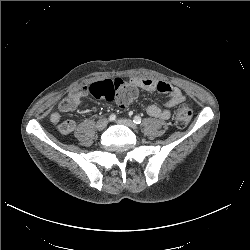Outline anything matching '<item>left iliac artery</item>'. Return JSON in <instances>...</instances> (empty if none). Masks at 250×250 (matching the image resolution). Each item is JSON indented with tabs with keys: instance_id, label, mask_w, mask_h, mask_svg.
Returning a JSON list of instances; mask_svg holds the SVG:
<instances>
[{
	"instance_id": "obj_1",
	"label": "left iliac artery",
	"mask_w": 250,
	"mask_h": 250,
	"mask_svg": "<svg viewBox=\"0 0 250 250\" xmlns=\"http://www.w3.org/2000/svg\"><path fill=\"white\" fill-rule=\"evenodd\" d=\"M134 123L140 124L141 123V117L140 116H135L133 119Z\"/></svg>"
}]
</instances>
